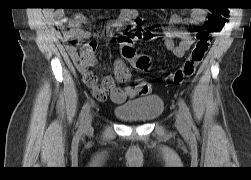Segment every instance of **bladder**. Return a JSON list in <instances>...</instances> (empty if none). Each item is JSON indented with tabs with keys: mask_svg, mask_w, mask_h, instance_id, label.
I'll return each instance as SVG.
<instances>
[{
	"mask_svg": "<svg viewBox=\"0 0 251 180\" xmlns=\"http://www.w3.org/2000/svg\"><path fill=\"white\" fill-rule=\"evenodd\" d=\"M164 110V100L158 95H150L127 101L114 108V115L127 123H147L158 118Z\"/></svg>",
	"mask_w": 251,
	"mask_h": 180,
	"instance_id": "bladder-1",
	"label": "bladder"
}]
</instances>
